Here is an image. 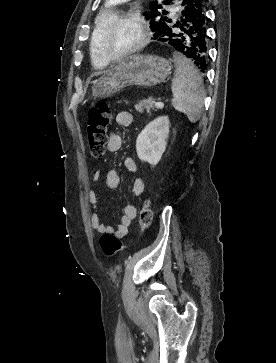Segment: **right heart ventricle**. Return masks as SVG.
<instances>
[{
  "instance_id": "e07e8e85",
  "label": "right heart ventricle",
  "mask_w": 276,
  "mask_h": 363,
  "mask_svg": "<svg viewBox=\"0 0 276 363\" xmlns=\"http://www.w3.org/2000/svg\"><path fill=\"white\" fill-rule=\"evenodd\" d=\"M115 15L112 5L110 3L106 4L105 8L99 13L95 22V30L92 37L91 42V57L93 65L96 68H104L108 66V62L102 56L99 49V37L101 31L104 29L106 24L113 18Z\"/></svg>"
}]
</instances>
